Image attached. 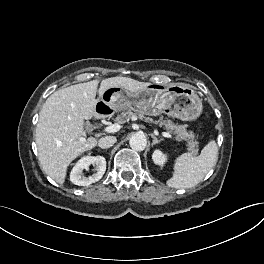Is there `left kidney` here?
<instances>
[{"instance_id": "1", "label": "left kidney", "mask_w": 264, "mask_h": 264, "mask_svg": "<svg viewBox=\"0 0 264 264\" xmlns=\"http://www.w3.org/2000/svg\"><path fill=\"white\" fill-rule=\"evenodd\" d=\"M152 159L155 164L159 165L160 167H163L167 160V155L160 150H155L153 152Z\"/></svg>"}]
</instances>
